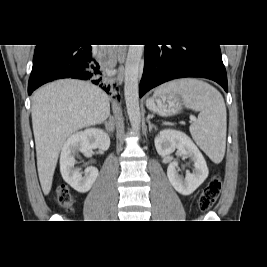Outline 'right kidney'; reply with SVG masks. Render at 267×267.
Instances as JSON below:
<instances>
[{"mask_svg": "<svg viewBox=\"0 0 267 267\" xmlns=\"http://www.w3.org/2000/svg\"><path fill=\"white\" fill-rule=\"evenodd\" d=\"M109 146V136L98 128H89L71 135L65 142L60 156V171L63 179L80 193L89 191L98 177V169L88 167L82 175V172L74 167L75 154L76 152L87 154L95 148L107 150Z\"/></svg>", "mask_w": 267, "mask_h": 267, "instance_id": "1", "label": "right kidney"}]
</instances>
